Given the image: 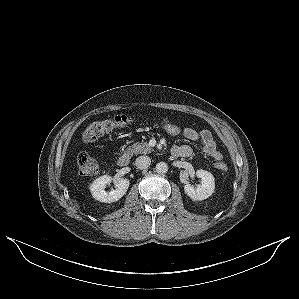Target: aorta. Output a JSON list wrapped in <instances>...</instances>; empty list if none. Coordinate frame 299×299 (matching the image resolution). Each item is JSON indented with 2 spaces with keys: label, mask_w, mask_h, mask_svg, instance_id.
I'll return each mask as SVG.
<instances>
[{
  "label": "aorta",
  "mask_w": 299,
  "mask_h": 299,
  "mask_svg": "<svg viewBox=\"0 0 299 299\" xmlns=\"http://www.w3.org/2000/svg\"><path fill=\"white\" fill-rule=\"evenodd\" d=\"M168 171V165L165 162H159L156 165V172L159 174H165Z\"/></svg>",
  "instance_id": "1"
}]
</instances>
